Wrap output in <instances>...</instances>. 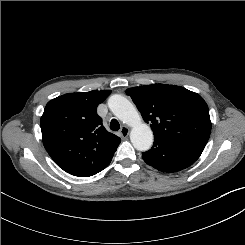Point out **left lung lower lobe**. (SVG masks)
Instances as JSON below:
<instances>
[{
    "mask_svg": "<svg viewBox=\"0 0 245 245\" xmlns=\"http://www.w3.org/2000/svg\"><path fill=\"white\" fill-rule=\"evenodd\" d=\"M202 151L175 142L154 138L152 148L142 153L144 161L162 172L173 173L192 165Z\"/></svg>",
    "mask_w": 245,
    "mask_h": 245,
    "instance_id": "1",
    "label": "left lung lower lobe"
}]
</instances>
